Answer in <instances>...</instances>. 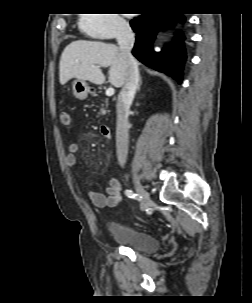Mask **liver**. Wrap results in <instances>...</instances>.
<instances>
[{"instance_id": "1", "label": "liver", "mask_w": 252, "mask_h": 303, "mask_svg": "<svg viewBox=\"0 0 252 303\" xmlns=\"http://www.w3.org/2000/svg\"><path fill=\"white\" fill-rule=\"evenodd\" d=\"M109 66L110 83L120 88L125 83L126 70L120 48L99 41L77 40L62 52L59 63V81L64 85L72 78L100 85L105 82L101 67Z\"/></svg>"}]
</instances>
